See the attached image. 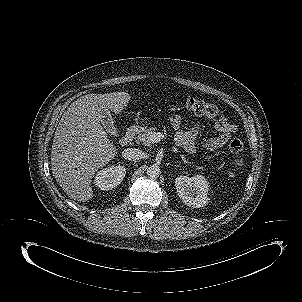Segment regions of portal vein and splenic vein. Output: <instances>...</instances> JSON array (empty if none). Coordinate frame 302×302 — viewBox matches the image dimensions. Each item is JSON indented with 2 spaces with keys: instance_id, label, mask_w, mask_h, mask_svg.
Segmentation results:
<instances>
[{
  "instance_id": "1",
  "label": "portal vein and splenic vein",
  "mask_w": 302,
  "mask_h": 302,
  "mask_svg": "<svg viewBox=\"0 0 302 302\" xmlns=\"http://www.w3.org/2000/svg\"><path fill=\"white\" fill-rule=\"evenodd\" d=\"M161 137H162L161 133H159V132L158 133H154L153 135H151L150 141L152 143H157V142L160 141Z\"/></svg>"
}]
</instances>
